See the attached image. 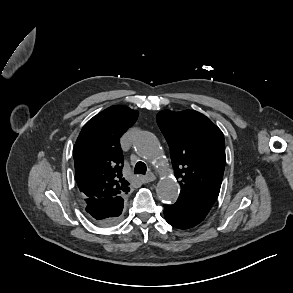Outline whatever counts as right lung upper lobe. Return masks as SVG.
Segmentation results:
<instances>
[{"label": "right lung upper lobe", "mask_w": 293, "mask_h": 293, "mask_svg": "<svg viewBox=\"0 0 293 293\" xmlns=\"http://www.w3.org/2000/svg\"><path fill=\"white\" fill-rule=\"evenodd\" d=\"M138 112L111 106L90 119L74 146L75 178L87 199L120 197L130 191L122 177L120 137L135 123Z\"/></svg>", "instance_id": "cb5924a9"}]
</instances>
